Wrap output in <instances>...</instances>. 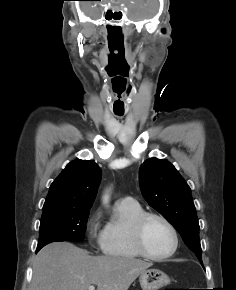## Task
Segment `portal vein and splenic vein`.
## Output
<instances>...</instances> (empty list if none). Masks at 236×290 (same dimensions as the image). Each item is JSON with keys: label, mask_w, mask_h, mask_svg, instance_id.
Here are the masks:
<instances>
[{"label": "portal vein and splenic vein", "mask_w": 236, "mask_h": 290, "mask_svg": "<svg viewBox=\"0 0 236 290\" xmlns=\"http://www.w3.org/2000/svg\"><path fill=\"white\" fill-rule=\"evenodd\" d=\"M88 290H95V286H94V285H90V286L88 287Z\"/></svg>", "instance_id": "obj_1"}]
</instances>
